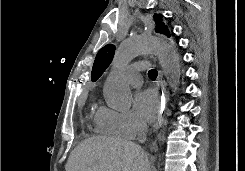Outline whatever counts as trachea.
<instances>
[{
  "label": "trachea",
  "mask_w": 245,
  "mask_h": 171,
  "mask_svg": "<svg viewBox=\"0 0 245 171\" xmlns=\"http://www.w3.org/2000/svg\"><path fill=\"white\" fill-rule=\"evenodd\" d=\"M157 74H158V72H157V70H155V69H152V70H150V71L148 72V76H149L150 79L156 78V77H157Z\"/></svg>",
  "instance_id": "trachea-1"
}]
</instances>
